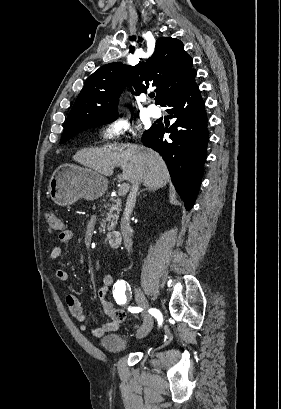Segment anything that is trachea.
I'll return each instance as SVG.
<instances>
[{"label":"trachea","mask_w":281,"mask_h":409,"mask_svg":"<svg viewBox=\"0 0 281 409\" xmlns=\"http://www.w3.org/2000/svg\"><path fill=\"white\" fill-rule=\"evenodd\" d=\"M155 96L154 93L150 94L149 97L153 98Z\"/></svg>","instance_id":"3493384b"}]
</instances>
